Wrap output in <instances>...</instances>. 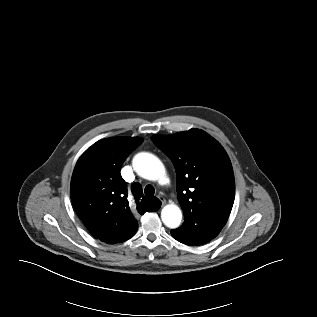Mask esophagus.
Instances as JSON below:
<instances>
[{"instance_id":"34e87169","label":"esophagus","mask_w":317,"mask_h":317,"mask_svg":"<svg viewBox=\"0 0 317 317\" xmlns=\"http://www.w3.org/2000/svg\"><path fill=\"white\" fill-rule=\"evenodd\" d=\"M158 198L162 202V205L166 204V200L162 195H159Z\"/></svg>"}]
</instances>
